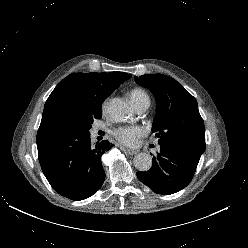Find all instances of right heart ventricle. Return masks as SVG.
Wrapping results in <instances>:
<instances>
[{"mask_svg":"<svg viewBox=\"0 0 248 248\" xmlns=\"http://www.w3.org/2000/svg\"><path fill=\"white\" fill-rule=\"evenodd\" d=\"M130 97L134 104H137L138 102L143 101V100L150 101V98L147 92L143 90L142 88H138V87L130 91Z\"/></svg>","mask_w":248,"mask_h":248,"instance_id":"e07e8e85","label":"right heart ventricle"}]
</instances>
